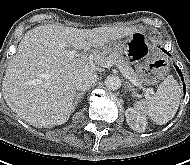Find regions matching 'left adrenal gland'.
<instances>
[{"mask_svg":"<svg viewBox=\"0 0 190 165\" xmlns=\"http://www.w3.org/2000/svg\"><path fill=\"white\" fill-rule=\"evenodd\" d=\"M125 89L129 90V92L132 91V86L130 85V83H126Z\"/></svg>","mask_w":190,"mask_h":165,"instance_id":"1","label":"left adrenal gland"}]
</instances>
